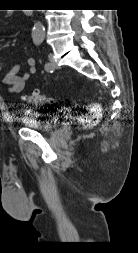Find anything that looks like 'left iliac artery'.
<instances>
[{"label": "left iliac artery", "instance_id": "left-iliac-artery-1", "mask_svg": "<svg viewBox=\"0 0 138 253\" xmlns=\"http://www.w3.org/2000/svg\"><path fill=\"white\" fill-rule=\"evenodd\" d=\"M35 43H36V45H40L41 43H42V39H37L36 41H35ZM45 70H47V71H50L51 70V66H50V64L49 63H45Z\"/></svg>", "mask_w": 138, "mask_h": 253}]
</instances>
